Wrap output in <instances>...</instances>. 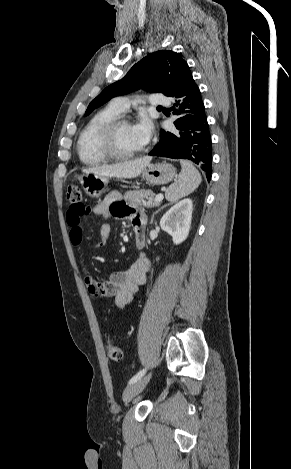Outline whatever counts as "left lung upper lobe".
Wrapping results in <instances>:
<instances>
[{"label":"left lung upper lobe","mask_w":291,"mask_h":469,"mask_svg":"<svg viewBox=\"0 0 291 469\" xmlns=\"http://www.w3.org/2000/svg\"><path fill=\"white\" fill-rule=\"evenodd\" d=\"M188 69L187 62L178 53L169 50L150 53L135 64L124 78L106 87L92 100L85 115L111 98L138 88L170 96Z\"/></svg>","instance_id":"5c2ea615"}]
</instances>
